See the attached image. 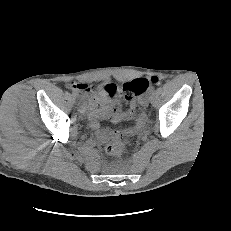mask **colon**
I'll use <instances>...</instances> for the list:
<instances>
[{"mask_svg": "<svg viewBox=\"0 0 231 231\" xmlns=\"http://www.w3.org/2000/svg\"><path fill=\"white\" fill-rule=\"evenodd\" d=\"M158 83L159 79L157 77H152L150 80L145 78H138L123 84L120 92L126 100L131 102V108L134 109L136 106V98L142 95L150 84ZM127 147V140H115L108 143L105 147V150L109 155L120 156L126 152Z\"/></svg>", "mask_w": 231, "mask_h": 231, "instance_id": "5ec220e1", "label": "colon"}]
</instances>
